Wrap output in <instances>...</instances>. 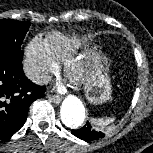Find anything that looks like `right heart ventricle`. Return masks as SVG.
I'll return each mask as SVG.
<instances>
[{"label": "right heart ventricle", "instance_id": "right-heart-ventricle-1", "mask_svg": "<svg viewBox=\"0 0 153 153\" xmlns=\"http://www.w3.org/2000/svg\"><path fill=\"white\" fill-rule=\"evenodd\" d=\"M45 41L57 62L69 61L83 45L82 39L61 33L49 34Z\"/></svg>", "mask_w": 153, "mask_h": 153}]
</instances>
